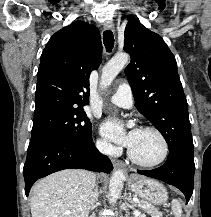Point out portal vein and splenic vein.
Returning <instances> with one entry per match:
<instances>
[{
  "label": "portal vein and splenic vein",
  "mask_w": 211,
  "mask_h": 217,
  "mask_svg": "<svg viewBox=\"0 0 211 217\" xmlns=\"http://www.w3.org/2000/svg\"><path fill=\"white\" fill-rule=\"evenodd\" d=\"M135 202H138V199H134Z\"/></svg>",
  "instance_id": "obj_1"
}]
</instances>
